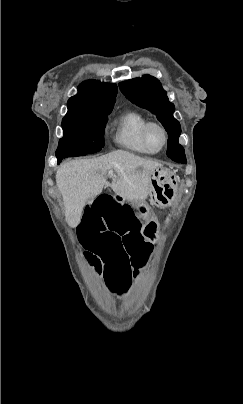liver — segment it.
<instances>
[{
    "label": "liver",
    "instance_id": "liver-1",
    "mask_svg": "<svg viewBox=\"0 0 243 404\" xmlns=\"http://www.w3.org/2000/svg\"><path fill=\"white\" fill-rule=\"evenodd\" d=\"M161 166L150 158H139L124 150L92 160H72L63 164L56 172V184L63 196L68 226L76 228L80 224L86 202L101 194L106 186L123 200H146L150 188L149 174ZM108 170L117 174L111 184L104 178Z\"/></svg>",
    "mask_w": 243,
    "mask_h": 404
}]
</instances>
